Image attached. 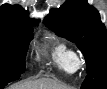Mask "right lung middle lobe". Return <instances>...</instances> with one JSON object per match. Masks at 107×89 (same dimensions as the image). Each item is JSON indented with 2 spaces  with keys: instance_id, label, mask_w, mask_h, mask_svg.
<instances>
[{
  "instance_id": "dd1d6c3e",
  "label": "right lung middle lobe",
  "mask_w": 107,
  "mask_h": 89,
  "mask_svg": "<svg viewBox=\"0 0 107 89\" xmlns=\"http://www.w3.org/2000/svg\"><path fill=\"white\" fill-rule=\"evenodd\" d=\"M33 28L0 24V88L19 79L25 69V56Z\"/></svg>"
}]
</instances>
